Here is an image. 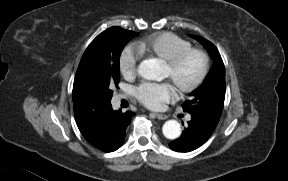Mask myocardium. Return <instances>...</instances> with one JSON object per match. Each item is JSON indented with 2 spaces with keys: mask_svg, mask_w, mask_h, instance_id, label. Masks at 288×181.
Listing matches in <instances>:
<instances>
[{
  "mask_svg": "<svg viewBox=\"0 0 288 181\" xmlns=\"http://www.w3.org/2000/svg\"><path fill=\"white\" fill-rule=\"evenodd\" d=\"M191 55H197L200 58L201 70L198 76L192 82L178 87L179 90L183 93L194 91L205 81L210 67V59L208 53L201 48L190 47L165 61V65L168 67V69L170 71H174Z\"/></svg>",
  "mask_w": 288,
  "mask_h": 181,
  "instance_id": "obj_1",
  "label": "myocardium"
}]
</instances>
